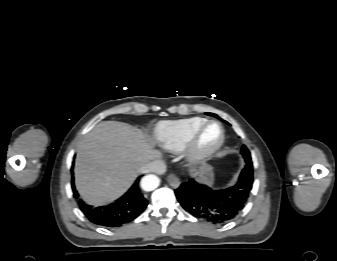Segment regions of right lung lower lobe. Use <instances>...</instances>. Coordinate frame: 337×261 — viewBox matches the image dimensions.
I'll return each mask as SVG.
<instances>
[{"mask_svg": "<svg viewBox=\"0 0 337 261\" xmlns=\"http://www.w3.org/2000/svg\"><path fill=\"white\" fill-rule=\"evenodd\" d=\"M138 183L139 178L126 194L110 205L93 207L85 204L81 200L79 207L85 216L94 224L109 228L120 227L133 221L148 205L147 200L141 194ZM72 189L74 197L78 198L79 195L73 182Z\"/></svg>", "mask_w": 337, "mask_h": 261, "instance_id": "obj_1", "label": "right lung lower lobe"}]
</instances>
